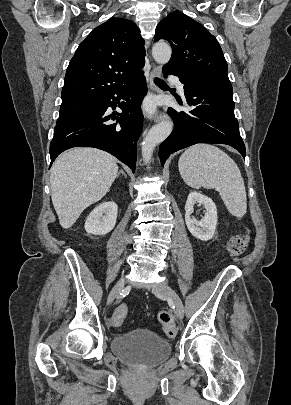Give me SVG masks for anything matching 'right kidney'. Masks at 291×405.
Returning <instances> with one entry per match:
<instances>
[{
	"instance_id": "1",
	"label": "right kidney",
	"mask_w": 291,
	"mask_h": 405,
	"mask_svg": "<svg viewBox=\"0 0 291 405\" xmlns=\"http://www.w3.org/2000/svg\"><path fill=\"white\" fill-rule=\"evenodd\" d=\"M117 204L113 201L99 204L87 217L85 230L89 234L105 235L115 227Z\"/></svg>"
}]
</instances>
